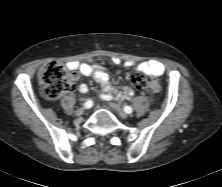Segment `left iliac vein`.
<instances>
[{"label": "left iliac vein", "instance_id": "1", "mask_svg": "<svg viewBox=\"0 0 222 187\" xmlns=\"http://www.w3.org/2000/svg\"><path fill=\"white\" fill-rule=\"evenodd\" d=\"M109 106L112 109H114L121 118L123 119L127 118V114L124 111H122L118 105H116L115 103H109Z\"/></svg>", "mask_w": 222, "mask_h": 187}]
</instances>
